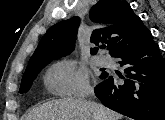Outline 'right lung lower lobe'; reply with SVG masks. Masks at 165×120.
<instances>
[{"label":"right lung lower lobe","mask_w":165,"mask_h":120,"mask_svg":"<svg viewBox=\"0 0 165 120\" xmlns=\"http://www.w3.org/2000/svg\"><path fill=\"white\" fill-rule=\"evenodd\" d=\"M113 57L125 65L126 78H107L95 88L102 103L135 120H165V58L151 32Z\"/></svg>","instance_id":"right-lung-lower-lobe-1"}]
</instances>
